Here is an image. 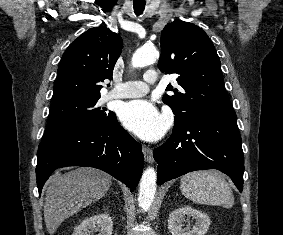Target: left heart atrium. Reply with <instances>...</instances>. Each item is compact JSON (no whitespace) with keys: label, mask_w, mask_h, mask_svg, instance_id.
<instances>
[{"label":"left heart atrium","mask_w":283,"mask_h":235,"mask_svg":"<svg viewBox=\"0 0 283 235\" xmlns=\"http://www.w3.org/2000/svg\"><path fill=\"white\" fill-rule=\"evenodd\" d=\"M123 126L146 141L160 139L168 128L167 118L147 100L125 103L119 112Z\"/></svg>","instance_id":"left-heart-atrium-1"}]
</instances>
